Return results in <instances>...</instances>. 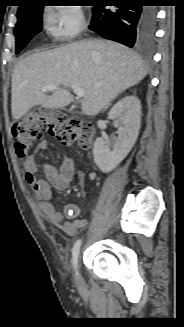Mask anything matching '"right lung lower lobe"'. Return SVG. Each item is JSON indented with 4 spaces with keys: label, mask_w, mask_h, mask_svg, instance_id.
<instances>
[{
    "label": "right lung lower lobe",
    "mask_w": 184,
    "mask_h": 327,
    "mask_svg": "<svg viewBox=\"0 0 184 327\" xmlns=\"http://www.w3.org/2000/svg\"><path fill=\"white\" fill-rule=\"evenodd\" d=\"M141 3V0H128L127 5L116 6L114 12L106 6H94L89 27L103 38L128 47H148L154 40L157 13Z\"/></svg>",
    "instance_id": "right-lung-lower-lobe-1"
}]
</instances>
